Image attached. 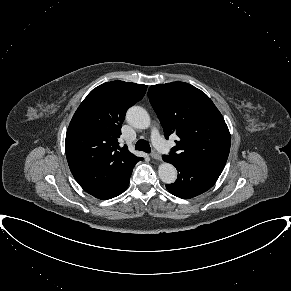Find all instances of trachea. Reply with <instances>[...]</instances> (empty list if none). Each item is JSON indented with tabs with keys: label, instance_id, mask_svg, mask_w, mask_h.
Instances as JSON below:
<instances>
[{
	"label": "trachea",
	"instance_id": "1",
	"mask_svg": "<svg viewBox=\"0 0 291 291\" xmlns=\"http://www.w3.org/2000/svg\"><path fill=\"white\" fill-rule=\"evenodd\" d=\"M135 149L139 150V151H144L146 153L151 152V148H150L149 143L144 139H141L136 143Z\"/></svg>",
	"mask_w": 291,
	"mask_h": 291
}]
</instances>
